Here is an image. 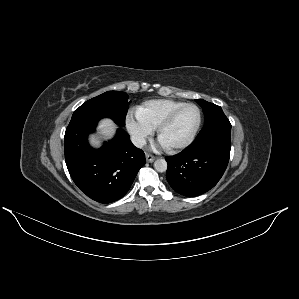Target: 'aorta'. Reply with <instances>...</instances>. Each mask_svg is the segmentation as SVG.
I'll use <instances>...</instances> for the list:
<instances>
[{"label":"aorta","instance_id":"aorta-1","mask_svg":"<svg viewBox=\"0 0 299 299\" xmlns=\"http://www.w3.org/2000/svg\"><path fill=\"white\" fill-rule=\"evenodd\" d=\"M154 168L158 172H165L167 170V162L164 159H157L154 162Z\"/></svg>","mask_w":299,"mask_h":299}]
</instances>
